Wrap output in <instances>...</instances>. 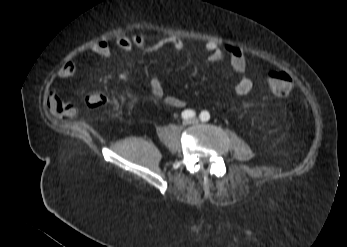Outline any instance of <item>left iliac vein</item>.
<instances>
[{"mask_svg": "<svg viewBox=\"0 0 347 247\" xmlns=\"http://www.w3.org/2000/svg\"><path fill=\"white\" fill-rule=\"evenodd\" d=\"M191 122H192V124H198V120L197 119H193Z\"/></svg>", "mask_w": 347, "mask_h": 247, "instance_id": "left-iliac-vein-1", "label": "left iliac vein"}]
</instances>
